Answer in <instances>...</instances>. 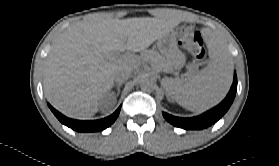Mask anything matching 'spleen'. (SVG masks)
I'll list each match as a JSON object with an SVG mask.
<instances>
[{"mask_svg":"<svg viewBox=\"0 0 279 166\" xmlns=\"http://www.w3.org/2000/svg\"><path fill=\"white\" fill-rule=\"evenodd\" d=\"M206 44L209 63L203 70L185 79L163 78L161 81L168 95L191 111L206 110L218 104L232 81V60L225 45L211 33H206Z\"/></svg>","mask_w":279,"mask_h":166,"instance_id":"1","label":"spleen"}]
</instances>
